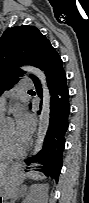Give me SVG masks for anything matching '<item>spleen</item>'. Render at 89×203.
Wrapping results in <instances>:
<instances>
[{
	"mask_svg": "<svg viewBox=\"0 0 89 203\" xmlns=\"http://www.w3.org/2000/svg\"><path fill=\"white\" fill-rule=\"evenodd\" d=\"M29 177L32 178L33 180H42L46 178L45 176L36 171L30 172Z\"/></svg>",
	"mask_w": 89,
	"mask_h": 203,
	"instance_id": "3e777b00",
	"label": "spleen"
}]
</instances>
